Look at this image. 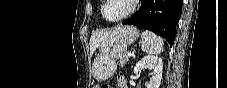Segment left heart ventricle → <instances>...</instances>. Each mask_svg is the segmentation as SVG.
Returning <instances> with one entry per match:
<instances>
[{
    "label": "left heart ventricle",
    "instance_id": "1",
    "mask_svg": "<svg viewBox=\"0 0 227 88\" xmlns=\"http://www.w3.org/2000/svg\"><path fill=\"white\" fill-rule=\"evenodd\" d=\"M126 10V5L122 0H117L105 8V14L108 18H115L122 15Z\"/></svg>",
    "mask_w": 227,
    "mask_h": 88
}]
</instances>
